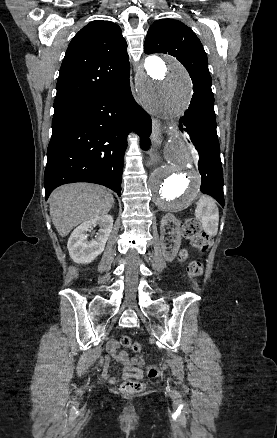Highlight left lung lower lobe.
I'll return each mask as SVG.
<instances>
[{
    "mask_svg": "<svg viewBox=\"0 0 277 438\" xmlns=\"http://www.w3.org/2000/svg\"><path fill=\"white\" fill-rule=\"evenodd\" d=\"M182 121L180 128L187 131L199 153L198 165L202 177L200 190L214 197L224 207L223 170L216 132L214 100L209 103L191 101Z\"/></svg>",
    "mask_w": 277,
    "mask_h": 438,
    "instance_id": "1",
    "label": "left lung lower lobe"
}]
</instances>
